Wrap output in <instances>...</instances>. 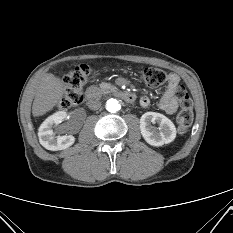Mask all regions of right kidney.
Here are the masks:
<instances>
[{
    "instance_id": "obj_1",
    "label": "right kidney",
    "mask_w": 233,
    "mask_h": 233,
    "mask_svg": "<svg viewBox=\"0 0 233 233\" xmlns=\"http://www.w3.org/2000/svg\"><path fill=\"white\" fill-rule=\"evenodd\" d=\"M67 119V113L59 111L49 116L39 127L38 137L40 144L52 151L64 150L70 147L74 142L75 138L72 135H58L65 130L62 127H57L58 124L62 123Z\"/></svg>"
}]
</instances>
